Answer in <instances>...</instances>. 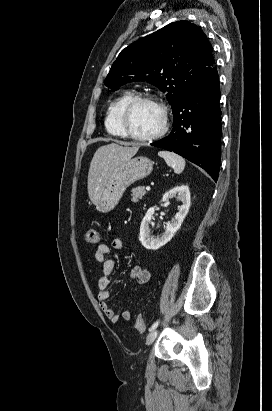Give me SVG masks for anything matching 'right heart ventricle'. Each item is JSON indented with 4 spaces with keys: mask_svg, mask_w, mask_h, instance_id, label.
Masks as SVG:
<instances>
[{
    "mask_svg": "<svg viewBox=\"0 0 272 411\" xmlns=\"http://www.w3.org/2000/svg\"><path fill=\"white\" fill-rule=\"evenodd\" d=\"M133 96L130 91L122 92L109 105L105 115V128L113 136L124 138L125 135L121 129L119 115L124 104Z\"/></svg>",
    "mask_w": 272,
    "mask_h": 411,
    "instance_id": "right-heart-ventricle-1",
    "label": "right heart ventricle"
}]
</instances>
